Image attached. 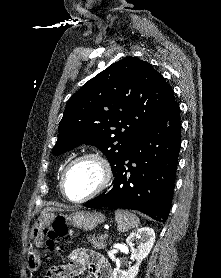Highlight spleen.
Instances as JSON below:
<instances>
[{
    "label": "spleen",
    "mask_w": 221,
    "mask_h": 278,
    "mask_svg": "<svg viewBox=\"0 0 221 278\" xmlns=\"http://www.w3.org/2000/svg\"><path fill=\"white\" fill-rule=\"evenodd\" d=\"M115 220L119 232L129 231L132 228L138 227L140 224L139 218L135 214L120 209L115 211Z\"/></svg>",
    "instance_id": "3e777b00"
}]
</instances>
